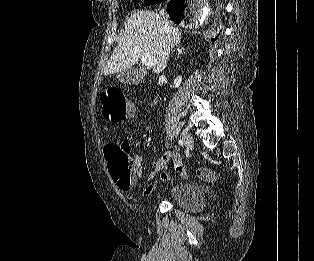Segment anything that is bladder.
Here are the masks:
<instances>
[{
  "label": "bladder",
  "instance_id": "31cf9c89",
  "mask_svg": "<svg viewBox=\"0 0 314 261\" xmlns=\"http://www.w3.org/2000/svg\"><path fill=\"white\" fill-rule=\"evenodd\" d=\"M169 196L175 205L191 213L201 211L205 207L204 192L195 184H178L170 190Z\"/></svg>",
  "mask_w": 314,
  "mask_h": 261
}]
</instances>
